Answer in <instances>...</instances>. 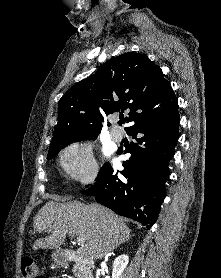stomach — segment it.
Returning <instances> with one entry per match:
<instances>
[{
    "instance_id": "0dacf381",
    "label": "stomach",
    "mask_w": 221,
    "mask_h": 278,
    "mask_svg": "<svg viewBox=\"0 0 221 278\" xmlns=\"http://www.w3.org/2000/svg\"><path fill=\"white\" fill-rule=\"evenodd\" d=\"M53 259H54V260H58V256L55 255V254H53Z\"/></svg>"
}]
</instances>
